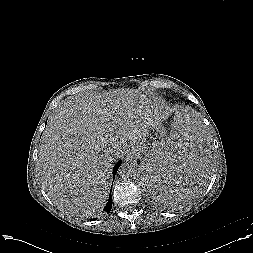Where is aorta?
Instances as JSON below:
<instances>
[{
  "label": "aorta",
  "mask_w": 253,
  "mask_h": 253,
  "mask_svg": "<svg viewBox=\"0 0 253 253\" xmlns=\"http://www.w3.org/2000/svg\"><path fill=\"white\" fill-rule=\"evenodd\" d=\"M135 168L131 163H122L119 167L118 174L122 178H129L134 173Z\"/></svg>",
  "instance_id": "aorta-1"
}]
</instances>
